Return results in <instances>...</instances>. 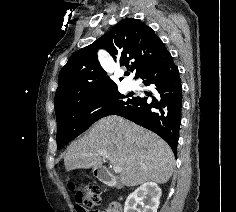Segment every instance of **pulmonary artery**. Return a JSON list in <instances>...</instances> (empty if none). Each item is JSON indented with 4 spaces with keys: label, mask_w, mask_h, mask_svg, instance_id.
Here are the masks:
<instances>
[{
    "label": "pulmonary artery",
    "mask_w": 236,
    "mask_h": 212,
    "mask_svg": "<svg viewBox=\"0 0 236 212\" xmlns=\"http://www.w3.org/2000/svg\"><path fill=\"white\" fill-rule=\"evenodd\" d=\"M138 87L137 83L135 81H129L127 82V88L129 90H134Z\"/></svg>",
    "instance_id": "obj_1"
}]
</instances>
